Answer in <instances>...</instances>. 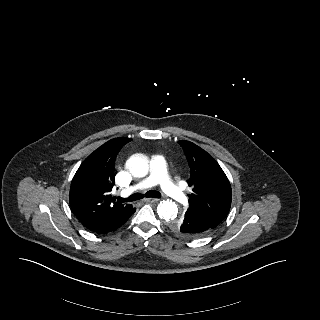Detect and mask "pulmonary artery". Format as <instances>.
<instances>
[{
	"instance_id": "pulmonary-artery-1",
	"label": "pulmonary artery",
	"mask_w": 320,
	"mask_h": 320,
	"mask_svg": "<svg viewBox=\"0 0 320 320\" xmlns=\"http://www.w3.org/2000/svg\"><path fill=\"white\" fill-rule=\"evenodd\" d=\"M150 169V175L130 187L127 192L143 190L159 184L162 190L174 200L181 203L187 201V197L181 188L169 178L163 156H153L150 161Z\"/></svg>"
}]
</instances>
